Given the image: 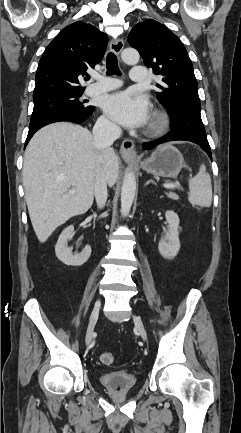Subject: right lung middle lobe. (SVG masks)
<instances>
[{"label":"right lung middle lobe","instance_id":"1","mask_svg":"<svg viewBox=\"0 0 241 433\" xmlns=\"http://www.w3.org/2000/svg\"><path fill=\"white\" fill-rule=\"evenodd\" d=\"M83 91H56L33 97L34 108L30 126L54 114L63 112L81 113L91 108L79 97Z\"/></svg>","mask_w":241,"mask_h":433}]
</instances>
